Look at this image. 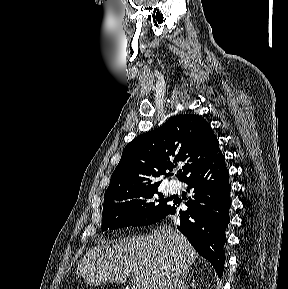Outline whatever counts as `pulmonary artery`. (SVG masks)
<instances>
[{"label": "pulmonary artery", "mask_w": 288, "mask_h": 289, "mask_svg": "<svg viewBox=\"0 0 288 289\" xmlns=\"http://www.w3.org/2000/svg\"><path fill=\"white\" fill-rule=\"evenodd\" d=\"M166 189L169 193L176 194L180 191V186L178 183L172 181L167 184Z\"/></svg>", "instance_id": "e3ab8cb5"}]
</instances>
